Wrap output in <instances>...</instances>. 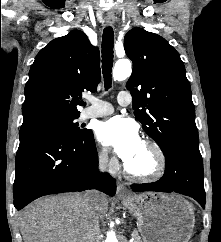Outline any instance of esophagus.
<instances>
[{"mask_svg":"<svg viewBox=\"0 0 221 242\" xmlns=\"http://www.w3.org/2000/svg\"><path fill=\"white\" fill-rule=\"evenodd\" d=\"M114 22V18H106L107 25H112ZM117 196L119 198L130 197V193L128 192L124 184L121 182H118L117 184Z\"/></svg>","mask_w":221,"mask_h":242,"instance_id":"esophagus-1","label":"esophagus"}]
</instances>
